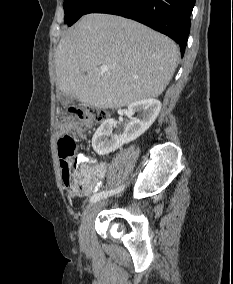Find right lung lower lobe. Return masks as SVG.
<instances>
[{
    "label": "right lung lower lobe",
    "mask_w": 233,
    "mask_h": 284,
    "mask_svg": "<svg viewBox=\"0 0 233 284\" xmlns=\"http://www.w3.org/2000/svg\"><path fill=\"white\" fill-rule=\"evenodd\" d=\"M195 0H108L93 13H108L141 22L172 38L184 54Z\"/></svg>",
    "instance_id": "1"
}]
</instances>
